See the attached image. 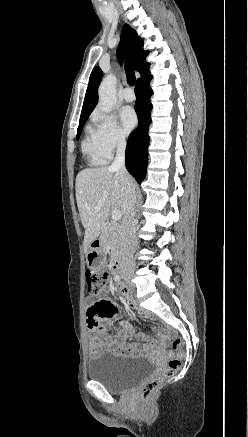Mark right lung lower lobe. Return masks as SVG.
<instances>
[{"label": "right lung lower lobe", "instance_id": "right-lung-lower-lobe-1", "mask_svg": "<svg viewBox=\"0 0 248 437\" xmlns=\"http://www.w3.org/2000/svg\"><path fill=\"white\" fill-rule=\"evenodd\" d=\"M152 75L148 71L136 82L135 111L139 120L138 127L129 136L126 152L125 165L130 174L140 184L146 176L148 165V128L151 123L152 104L150 97L153 91L149 87Z\"/></svg>", "mask_w": 248, "mask_h": 437}]
</instances>
